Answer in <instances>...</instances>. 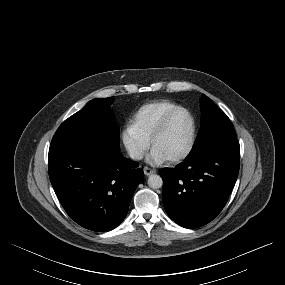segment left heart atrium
Listing matches in <instances>:
<instances>
[{
    "label": "left heart atrium",
    "instance_id": "left-heart-atrium-1",
    "mask_svg": "<svg viewBox=\"0 0 285 285\" xmlns=\"http://www.w3.org/2000/svg\"><path fill=\"white\" fill-rule=\"evenodd\" d=\"M147 159L149 163L154 165H160L166 161V158L155 149L150 152Z\"/></svg>",
    "mask_w": 285,
    "mask_h": 285
}]
</instances>
